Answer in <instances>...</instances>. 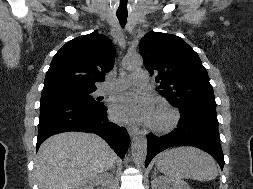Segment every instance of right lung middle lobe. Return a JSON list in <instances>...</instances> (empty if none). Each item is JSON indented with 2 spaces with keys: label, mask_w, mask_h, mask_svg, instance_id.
I'll return each instance as SVG.
<instances>
[{
  "label": "right lung middle lobe",
  "mask_w": 253,
  "mask_h": 189,
  "mask_svg": "<svg viewBox=\"0 0 253 189\" xmlns=\"http://www.w3.org/2000/svg\"><path fill=\"white\" fill-rule=\"evenodd\" d=\"M96 89H79V88H58L43 90L41 102L43 101H72L91 105L100 104L92 97Z\"/></svg>",
  "instance_id": "right-lung-middle-lobe-1"
}]
</instances>
